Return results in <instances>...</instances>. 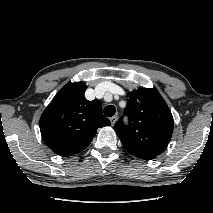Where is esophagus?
<instances>
[{
    "label": "esophagus",
    "instance_id": "esophagus-1",
    "mask_svg": "<svg viewBox=\"0 0 213 213\" xmlns=\"http://www.w3.org/2000/svg\"><path fill=\"white\" fill-rule=\"evenodd\" d=\"M116 121H117V116H116V115H115V116H112V117L110 118V122H111V125H112V126L116 123Z\"/></svg>",
    "mask_w": 213,
    "mask_h": 213
}]
</instances>
